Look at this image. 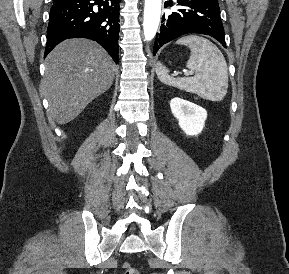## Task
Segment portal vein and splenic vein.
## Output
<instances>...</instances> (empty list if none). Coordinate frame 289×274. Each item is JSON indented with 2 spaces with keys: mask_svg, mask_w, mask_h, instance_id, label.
I'll use <instances>...</instances> for the list:
<instances>
[{
  "mask_svg": "<svg viewBox=\"0 0 289 274\" xmlns=\"http://www.w3.org/2000/svg\"><path fill=\"white\" fill-rule=\"evenodd\" d=\"M185 75L188 76V75H190V73H189V72H186Z\"/></svg>",
  "mask_w": 289,
  "mask_h": 274,
  "instance_id": "portal-vein-and-splenic-vein-1",
  "label": "portal vein and splenic vein"
}]
</instances>
